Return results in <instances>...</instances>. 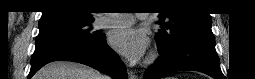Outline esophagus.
I'll list each match as a JSON object with an SVG mask.
<instances>
[{
	"label": "esophagus",
	"instance_id": "1",
	"mask_svg": "<svg viewBox=\"0 0 255 79\" xmlns=\"http://www.w3.org/2000/svg\"><path fill=\"white\" fill-rule=\"evenodd\" d=\"M129 76H130V79H136V76L132 72H130Z\"/></svg>",
	"mask_w": 255,
	"mask_h": 79
}]
</instances>
